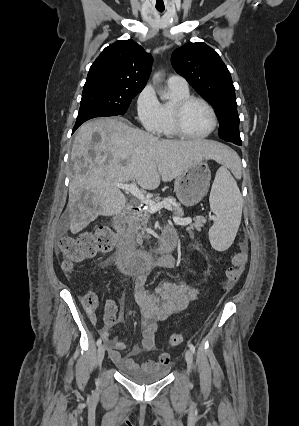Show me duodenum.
I'll return each instance as SVG.
<instances>
[{"label":"duodenum","instance_id":"410a0bca","mask_svg":"<svg viewBox=\"0 0 299 426\" xmlns=\"http://www.w3.org/2000/svg\"><path fill=\"white\" fill-rule=\"evenodd\" d=\"M131 208L119 213L114 219V228L119 235L116 264L119 270L133 275L147 267L156 257L171 252L176 245L175 231L167 227L163 230L158 246L153 252L136 250L128 230Z\"/></svg>","mask_w":299,"mask_h":426}]
</instances>
